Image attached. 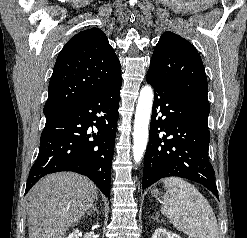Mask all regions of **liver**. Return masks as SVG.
I'll return each instance as SVG.
<instances>
[{"label":"liver","mask_w":247,"mask_h":238,"mask_svg":"<svg viewBox=\"0 0 247 238\" xmlns=\"http://www.w3.org/2000/svg\"><path fill=\"white\" fill-rule=\"evenodd\" d=\"M97 200V188L87 177L73 172L46 176L29 192V238H64Z\"/></svg>","instance_id":"liver-1"}]
</instances>
